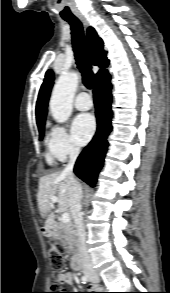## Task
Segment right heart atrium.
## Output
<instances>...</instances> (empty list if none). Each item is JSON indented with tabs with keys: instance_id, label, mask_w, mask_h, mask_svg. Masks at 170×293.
Instances as JSON below:
<instances>
[{
	"instance_id": "right-heart-atrium-1",
	"label": "right heart atrium",
	"mask_w": 170,
	"mask_h": 293,
	"mask_svg": "<svg viewBox=\"0 0 170 293\" xmlns=\"http://www.w3.org/2000/svg\"><path fill=\"white\" fill-rule=\"evenodd\" d=\"M48 147L50 154L60 161H64L79 152V147L74 143L62 125H53L49 132Z\"/></svg>"
}]
</instances>
